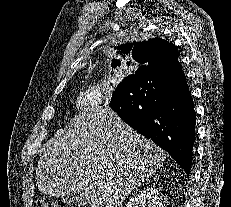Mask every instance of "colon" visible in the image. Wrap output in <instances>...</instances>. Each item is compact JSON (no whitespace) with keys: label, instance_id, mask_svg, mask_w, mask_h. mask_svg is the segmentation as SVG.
I'll return each instance as SVG.
<instances>
[{"label":"colon","instance_id":"obj_1","mask_svg":"<svg viewBox=\"0 0 231 207\" xmlns=\"http://www.w3.org/2000/svg\"><path fill=\"white\" fill-rule=\"evenodd\" d=\"M33 207H79V205L65 199H40Z\"/></svg>","mask_w":231,"mask_h":207}]
</instances>
